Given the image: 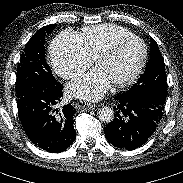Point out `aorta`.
<instances>
[{"mask_svg": "<svg viewBox=\"0 0 183 183\" xmlns=\"http://www.w3.org/2000/svg\"><path fill=\"white\" fill-rule=\"evenodd\" d=\"M98 117L100 121L110 123L114 119V110L110 107H102L99 109Z\"/></svg>", "mask_w": 183, "mask_h": 183, "instance_id": "1", "label": "aorta"}]
</instances>
